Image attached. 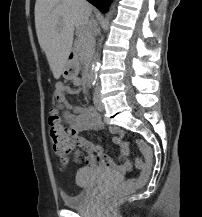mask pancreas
<instances>
[{
    "instance_id": "cf45deb5",
    "label": "pancreas",
    "mask_w": 202,
    "mask_h": 217,
    "mask_svg": "<svg viewBox=\"0 0 202 217\" xmlns=\"http://www.w3.org/2000/svg\"><path fill=\"white\" fill-rule=\"evenodd\" d=\"M75 49L80 60L87 61L90 58L93 51V34L87 27L78 31Z\"/></svg>"
}]
</instances>
